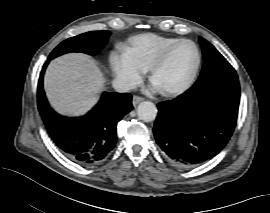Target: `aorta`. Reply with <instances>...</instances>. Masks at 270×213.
<instances>
[{"label":"aorta","instance_id":"aorta-1","mask_svg":"<svg viewBox=\"0 0 270 213\" xmlns=\"http://www.w3.org/2000/svg\"><path fill=\"white\" fill-rule=\"evenodd\" d=\"M137 113L143 121L151 122L157 116V107L150 101H143L138 105Z\"/></svg>","mask_w":270,"mask_h":213}]
</instances>
